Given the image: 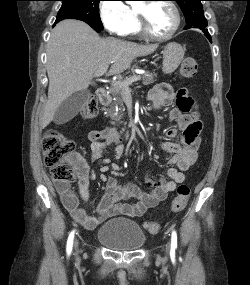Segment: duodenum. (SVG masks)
Here are the masks:
<instances>
[{
	"label": "duodenum",
	"mask_w": 250,
	"mask_h": 285,
	"mask_svg": "<svg viewBox=\"0 0 250 285\" xmlns=\"http://www.w3.org/2000/svg\"><path fill=\"white\" fill-rule=\"evenodd\" d=\"M96 94H97V97L101 103H107L108 102L109 94L105 88H98Z\"/></svg>",
	"instance_id": "1"
}]
</instances>
